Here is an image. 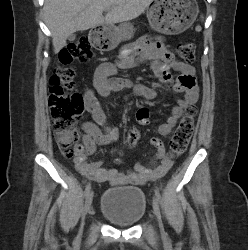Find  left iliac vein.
<instances>
[{"label": "left iliac vein", "mask_w": 248, "mask_h": 250, "mask_svg": "<svg viewBox=\"0 0 248 250\" xmlns=\"http://www.w3.org/2000/svg\"><path fill=\"white\" fill-rule=\"evenodd\" d=\"M153 211H154V214L158 220L160 227L162 228L163 224H162V219H161V212H160V208H159V205H158L156 199L153 200Z\"/></svg>", "instance_id": "obj_1"}]
</instances>
